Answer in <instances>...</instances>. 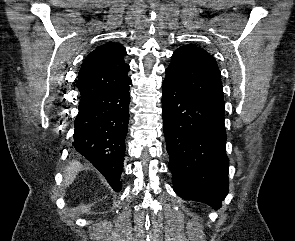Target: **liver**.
I'll list each match as a JSON object with an SVG mask.
<instances>
[{"label":"liver","instance_id":"1","mask_svg":"<svg viewBox=\"0 0 295 241\" xmlns=\"http://www.w3.org/2000/svg\"><path fill=\"white\" fill-rule=\"evenodd\" d=\"M83 168L82 164L78 161H72L64 171V184L69 186L76 178L77 174Z\"/></svg>","mask_w":295,"mask_h":241}]
</instances>
